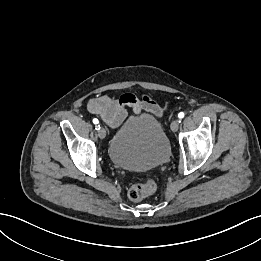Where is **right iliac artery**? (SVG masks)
<instances>
[{
	"label": "right iliac artery",
	"instance_id": "1",
	"mask_svg": "<svg viewBox=\"0 0 261 261\" xmlns=\"http://www.w3.org/2000/svg\"><path fill=\"white\" fill-rule=\"evenodd\" d=\"M93 123L96 125V130L100 129V125H97L99 124V120L97 118L93 119Z\"/></svg>",
	"mask_w": 261,
	"mask_h": 261
}]
</instances>
